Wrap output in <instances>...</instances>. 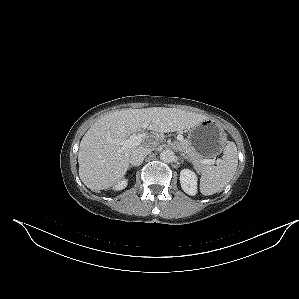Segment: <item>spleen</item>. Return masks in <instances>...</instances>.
I'll return each instance as SVG.
<instances>
[{
  "mask_svg": "<svg viewBox=\"0 0 299 299\" xmlns=\"http://www.w3.org/2000/svg\"><path fill=\"white\" fill-rule=\"evenodd\" d=\"M238 165L237 147L228 142L224 148L223 159L217 166H207L200 178V192L207 196L221 192L230 182Z\"/></svg>",
  "mask_w": 299,
  "mask_h": 299,
  "instance_id": "1",
  "label": "spleen"
}]
</instances>
